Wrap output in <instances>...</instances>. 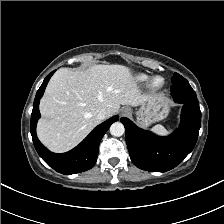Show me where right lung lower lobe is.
I'll list each match as a JSON object with an SVG mask.
<instances>
[{"label": "right lung lower lobe", "instance_id": "obj_1", "mask_svg": "<svg viewBox=\"0 0 224 224\" xmlns=\"http://www.w3.org/2000/svg\"><path fill=\"white\" fill-rule=\"evenodd\" d=\"M55 71L51 72L43 81L37 91L33 110L31 114L30 132L36 151L40 157L54 170L62 174H75L86 171L94 166L97 161L99 143L111 126L118 120L119 116H113L102 124L98 125L94 130L74 149L63 154L50 152L38 140L36 135V124L40 117L39 101L42 97L45 87Z\"/></svg>", "mask_w": 224, "mask_h": 224}]
</instances>
